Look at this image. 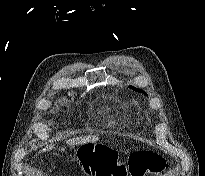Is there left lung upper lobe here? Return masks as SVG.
Instances as JSON below:
<instances>
[{
  "label": "left lung upper lobe",
  "instance_id": "left-lung-upper-lobe-1",
  "mask_svg": "<svg viewBox=\"0 0 205 176\" xmlns=\"http://www.w3.org/2000/svg\"><path fill=\"white\" fill-rule=\"evenodd\" d=\"M130 87H132V86H130ZM133 89L136 90V91H138V92H143V90L138 89V88H135V87H133ZM144 93H145V92H144Z\"/></svg>",
  "mask_w": 205,
  "mask_h": 176
}]
</instances>
